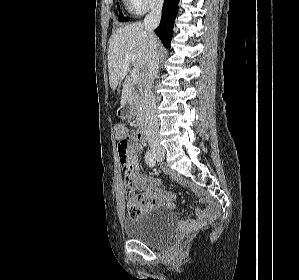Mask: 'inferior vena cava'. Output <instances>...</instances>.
<instances>
[{
    "label": "inferior vena cava",
    "instance_id": "602c4592",
    "mask_svg": "<svg viewBox=\"0 0 299 280\" xmlns=\"http://www.w3.org/2000/svg\"><path fill=\"white\" fill-rule=\"evenodd\" d=\"M162 5L163 0H155L150 13L144 19V28L147 33L149 43V60L144 91L145 133L150 145H159L160 143L156 103L151 88L159 69V53L154 30L158 27L161 20Z\"/></svg>",
    "mask_w": 299,
    "mask_h": 280
}]
</instances>
